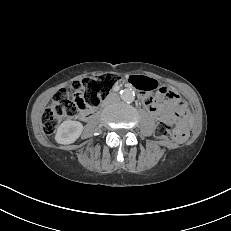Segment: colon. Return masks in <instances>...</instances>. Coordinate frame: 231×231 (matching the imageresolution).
Wrapping results in <instances>:
<instances>
[{"label": "colon", "instance_id": "obj_1", "mask_svg": "<svg viewBox=\"0 0 231 231\" xmlns=\"http://www.w3.org/2000/svg\"><path fill=\"white\" fill-rule=\"evenodd\" d=\"M119 80L120 77L117 74L105 73L75 81L71 86L59 91L43 113L41 120L43 132L51 134L62 120L73 118L79 111L86 108L97 107ZM132 85L141 92H147L156 87V84L142 77L133 78ZM169 91V87L162 86L160 95L169 98L171 94ZM176 116L179 119L178 123L171 118L159 122L156 127V135L159 138L171 141L183 140L187 137L188 127L184 123L187 110L182 104L177 107Z\"/></svg>", "mask_w": 231, "mask_h": 231}]
</instances>
